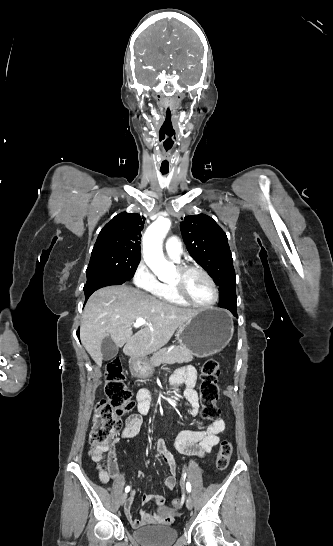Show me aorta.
I'll return each mask as SVG.
<instances>
[{
  "label": "aorta",
  "mask_w": 333,
  "mask_h": 546,
  "mask_svg": "<svg viewBox=\"0 0 333 546\" xmlns=\"http://www.w3.org/2000/svg\"><path fill=\"white\" fill-rule=\"evenodd\" d=\"M171 226L169 219L159 218L146 230L143 237V255L146 264L160 280L175 275L176 267L163 256L162 241Z\"/></svg>",
  "instance_id": "1"
}]
</instances>
